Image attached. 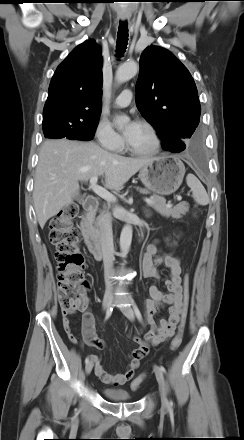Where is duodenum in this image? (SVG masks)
Segmentation results:
<instances>
[{"label":"duodenum","mask_w":244,"mask_h":440,"mask_svg":"<svg viewBox=\"0 0 244 440\" xmlns=\"http://www.w3.org/2000/svg\"><path fill=\"white\" fill-rule=\"evenodd\" d=\"M99 201L96 197L90 196L84 202V211L80 220V232L88 247L90 253L95 259L101 260L103 257L101 243L97 234L93 229V218L96 210L98 209Z\"/></svg>","instance_id":"1"}]
</instances>
